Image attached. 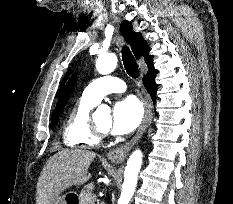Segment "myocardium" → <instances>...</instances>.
I'll return each instance as SVG.
<instances>
[{
    "mask_svg": "<svg viewBox=\"0 0 233 204\" xmlns=\"http://www.w3.org/2000/svg\"><path fill=\"white\" fill-rule=\"evenodd\" d=\"M92 128L95 134L99 137H105L108 134V131L102 130L95 122H92Z\"/></svg>",
    "mask_w": 233,
    "mask_h": 204,
    "instance_id": "myocardium-1",
    "label": "myocardium"
}]
</instances>
